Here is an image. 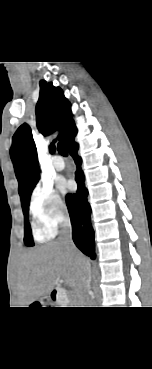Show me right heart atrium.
Wrapping results in <instances>:
<instances>
[{
    "label": "right heart atrium",
    "instance_id": "1",
    "mask_svg": "<svg viewBox=\"0 0 152 369\" xmlns=\"http://www.w3.org/2000/svg\"><path fill=\"white\" fill-rule=\"evenodd\" d=\"M29 210L39 235L51 236L67 219L65 200L48 184H38L31 193Z\"/></svg>",
    "mask_w": 152,
    "mask_h": 369
}]
</instances>
